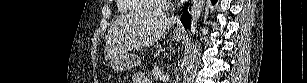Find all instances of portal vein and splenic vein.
Listing matches in <instances>:
<instances>
[{"instance_id": "1", "label": "portal vein and splenic vein", "mask_w": 307, "mask_h": 83, "mask_svg": "<svg viewBox=\"0 0 307 83\" xmlns=\"http://www.w3.org/2000/svg\"><path fill=\"white\" fill-rule=\"evenodd\" d=\"M161 79H162V81H168L169 80V77L168 76H161Z\"/></svg>"}]
</instances>
